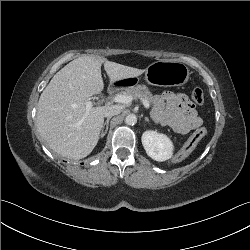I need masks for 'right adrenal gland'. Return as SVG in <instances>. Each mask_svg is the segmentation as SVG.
Segmentation results:
<instances>
[{
	"mask_svg": "<svg viewBox=\"0 0 250 250\" xmlns=\"http://www.w3.org/2000/svg\"><path fill=\"white\" fill-rule=\"evenodd\" d=\"M111 117H108L105 121V123L102 126V133H101V137H104L108 131V125H109V121H110ZM106 126V127H105Z\"/></svg>",
	"mask_w": 250,
	"mask_h": 250,
	"instance_id": "obj_1",
	"label": "right adrenal gland"
}]
</instances>
